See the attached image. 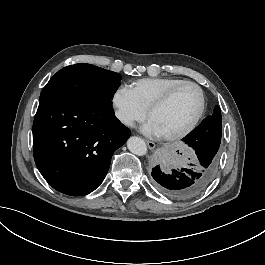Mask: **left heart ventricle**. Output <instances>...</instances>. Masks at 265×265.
<instances>
[{
  "label": "left heart ventricle",
  "mask_w": 265,
  "mask_h": 265,
  "mask_svg": "<svg viewBox=\"0 0 265 265\" xmlns=\"http://www.w3.org/2000/svg\"><path fill=\"white\" fill-rule=\"evenodd\" d=\"M200 104L196 88L186 86L180 89L161 109L150 116L161 133L166 136L185 128L195 117Z\"/></svg>",
  "instance_id": "1"
}]
</instances>
